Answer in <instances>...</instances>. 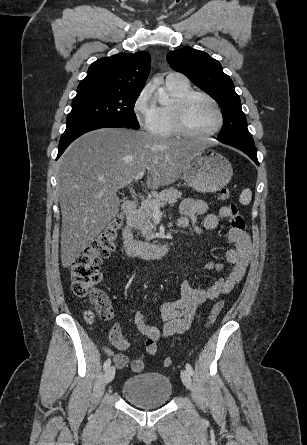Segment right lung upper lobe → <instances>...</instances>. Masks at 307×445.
Instances as JSON below:
<instances>
[{
  "mask_svg": "<svg viewBox=\"0 0 307 445\" xmlns=\"http://www.w3.org/2000/svg\"><path fill=\"white\" fill-rule=\"evenodd\" d=\"M146 51L119 53L93 62L77 88V96L90 94L140 95L150 71Z\"/></svg>",
  "mask_w": 307,
  "mask_h": 445,
  "instance_id": "1",
  "label": "right lung upper lobe"
}]
</instances>
